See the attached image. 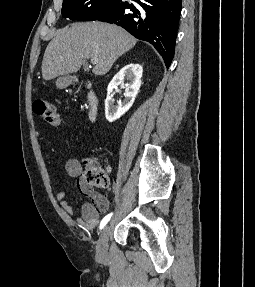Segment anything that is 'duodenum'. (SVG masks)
Here are the masks:
<instances>
[{"instance_id":"410a0bca","label":"duodenum","mask_w":255,"mask_h":287,"mask_svg":"<svg viewBox=\"0 0 255 287\" xmlns=\"http://www.w3.org/2000/svg\"><path fill=\"white\" fill-rule=\"evenodd\" d=\"M99 115L98 95L90 90L87 94V117L91 122H95Z\"/></svg>"}]
</instances>
